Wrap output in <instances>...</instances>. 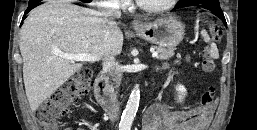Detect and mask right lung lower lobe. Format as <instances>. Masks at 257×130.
Returning <instances> with one entry per match:
<instances>
[{
  "instance_id": "obj_1",
  "label": "right lung lower lobe",
  "mask_w": 257,
  "mask_h": 130,
  "mask_svg": "<svg viewBox=\"0 0 257 130\" xmlns=\"http://www.w3.org/2000/svg\"><path fill=\"white\" fill-rule=\"evenodd\" d=\"M31 1H33V2H31V3L29 4V6H28V8H27V10H26V12H25V14H24V16H23V20L26 18L25 15H26L30 10H32L33 8H35L36 6H38V1H35V0H31Z\"/></svg>"
}]
</instances>
